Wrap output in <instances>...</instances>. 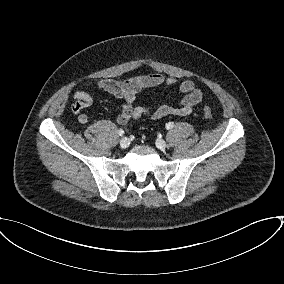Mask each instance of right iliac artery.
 <instances>
[{
	"label": "right iliac artery",
	"instance_id": "1",
	"mask_svg": "<svg viewBox=\"0 0 284 284\" xmlns=\"http://www.w3.org/2000/svg\"><path fill=\"white\" fill-rule=\"evenodd\" d=\"M118 134H119L120 136H122V135H124V131H123L122 129H120V130L118 131Z\"/></svg>",
	"mask_w": 284,
	"mask_h": 284
}]
</instances>
